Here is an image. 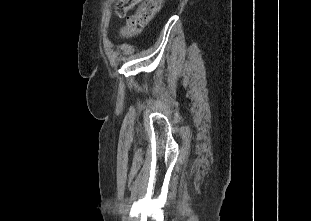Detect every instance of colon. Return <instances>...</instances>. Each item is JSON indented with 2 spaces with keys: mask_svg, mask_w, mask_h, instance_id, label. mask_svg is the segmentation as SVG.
<instances>
[{
  "mask_svg": "<svg viewBox=\"0 0 311 221\" xmlns=\"http://www.w3.org/2000/svg\"><path fill=\"white\" fill-rule=\"evenodd\" d=\"M138 0L114 1V17H123L125 12L136 8ZM165 0H143L135 14L131 15L126 25L121 29L124 37H131L140 33L146 25L155 17Z\"/></svg>",
  "mask_w": 311,
  "mask_h": 221,
  "instance_id": "colon-1",
  "label": "colon"
}]
</instances>
